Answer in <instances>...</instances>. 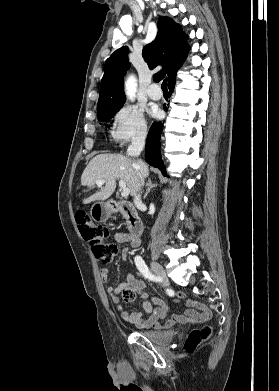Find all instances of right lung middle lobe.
Wrapping results in <instances>:
<instances>
[{
    "instance_id": "1",
    "label": "right lung middle lobe",
    "mask_w": 279,
    "mask_h": 391,
    "mask_svg": "<svg viewBox=\"0 0 279 391\" xmlns=\"http://www.w3.org/2000/svg\"><path fill=\"white\" fill-rule=\"evenodd\" d=\"M121 108V106L119 107H114V108H109V109H106L104 111H101L99 113H97V117H98V120L99 121H108L110 118L113 117V115L115 113H117L119 111V109Z\"/></svg>"
}]
</instances>
